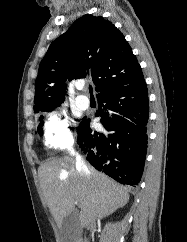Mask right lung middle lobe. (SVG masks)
Returning a JSON list of instances; mask_svg holds the SVG:
<instances>
[{
	"mask_svg": "<svg viewBox=\"0 0 187 242\" xmlns=\"http://www.w3.org/2000/svg\"><path fill=\"white\" fill-rule=\"evenodd\" d=\"M53 109H51V110H49V111H46V112H50V111H52ZM44 113V112H43ZM43 113H41L40 114V125L37 127V131H38V133L39 134H42V126H43V121H42V119H43Z\"/></svg>",
	"mask_w": 187,
	"mask_h": 242,
	"instance_id": "right-lung-middle-lobe-1",
	"label": "right lung middle lobe"
}]
</instances>
